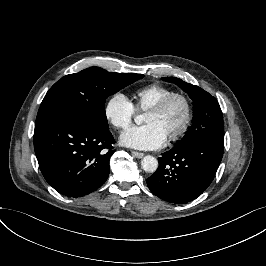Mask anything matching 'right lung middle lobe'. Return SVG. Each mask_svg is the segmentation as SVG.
Here are the masks:
<instances>
[{
	"mask_svg": "<svg viewBox=\"0 0 266 266\" xmlns=\"http://www.w3.org/2000/svg\"><path fill=\"white\" fill-rule=\"evenodd\" d=\"M142 77L144 75L108 72L99 67L66 75L47 92L36 122L64 113L76 116L96 129L108 130L106 98Z\"/></svg>",
	"mask_w": 266,
	"mask_h": 266,
	"instance_id": "right-lung-middle-lobe-1",
	"label": "right lung middle lobe"
}]
</instances>
